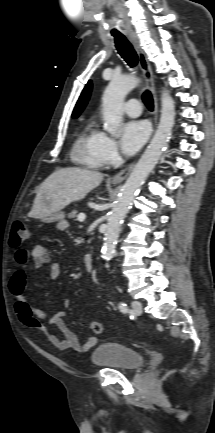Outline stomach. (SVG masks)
<instances>
[{"mask_svg":"<svg viewBox=\"0 0 215 433\" xmlns=\"http://www.w3.org/2000/svg\"><path fill=\"white\" fill-rule=\"evenodd\" d=\"M43 202L47 205H49V200H48V196H44L43 197ZM64 219V214L63 212L59 211H55L52 214H50L49 216H46L44 218H42V220L44 222L50 223V222H55V221H61Z\"/></svg>","mask_w":215,"mask_h":433,"instance_id":"obj_1","label":"stomach"}]
</instances>
